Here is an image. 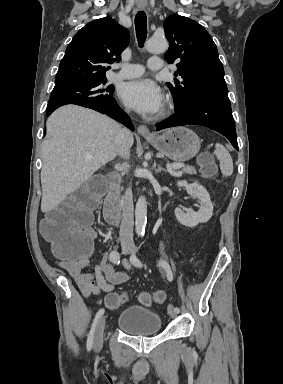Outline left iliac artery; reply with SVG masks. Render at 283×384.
Segmentation results:
<instances>
[{"instance_id": "left-iliac-artery-1", "label": "left iliac artery", "mask_w": 283, "mask_h": 384, "mask_svg": "<svg viewBox=\"0 0 283 384\" xmlns=\"http://www.w3.org/2000/svg\"><path fill=\"white\" fill-rule=\"evenodd\" d=\"M130 261L136 267H142L143 266L142 262L137 258L135 253H133L130 256ZM159 265H161L165 269L166 274H167V279L169 281H172L173 280V273H172L170 265L166 261H160ZM174 310L176 311V313L180 312V309L178 307H175Z\"/></svg>"}]
</instances>
